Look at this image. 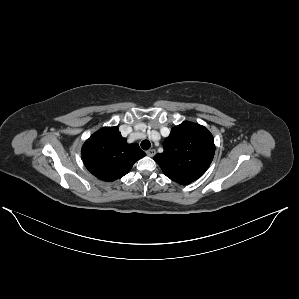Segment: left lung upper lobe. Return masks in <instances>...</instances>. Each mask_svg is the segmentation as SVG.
I'll return each instance as SVG.
<instances>
[{
    "instance_id": "obj_1",
    "label": "left lung upper lobe",
    "mask_w": 299,
    "mask_h": 299,
    "mask_svg": "<svg viewBox=\"0 0 299 299\" xmlns=\"http://www.w3.org/2000/svg\"><path fill=\"white\" fill-rule=\"evenodd\" d=\"M163 147L164 152L156 154L154 160L168 178L182 185L200 178L215 153L212 134L204 126L187 121L172 129Z\"/></svg>"
}]
</instances>
